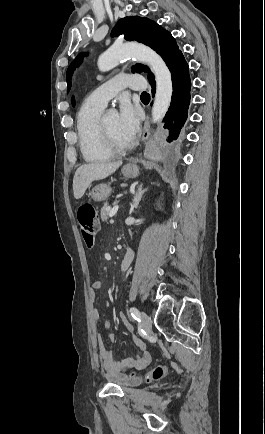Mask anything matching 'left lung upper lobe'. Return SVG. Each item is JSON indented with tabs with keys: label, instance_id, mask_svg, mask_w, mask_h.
<instances>
[{
	"label": "left lung upper lobe",
	"instance_id": "5c2ea615",
	"mask_svg": "<svg viewBox=\"0 0 265 434\" xmlns=\"http://www.w3.org/2000/svg\"><path fill=\"white\" fill-rule=\"evenodd\" d=\"M125 33V39L132 41L135 40L140 43L151 47L158 54H160L170 69L174 60L182 54L176 44L175 39L170 32L163 29L156 22L138 16L126 17L118 21L114 29L112 30V36H118ZM84 54H80L76 60H74L67 70V90L71 87V76L76 66L81 63V59ZM148 72L149 68L140 64L133 67L132 72ZM147 78L152 85H155L154 76L149 72Z\"/></svg>",
	"mask_w": 265,
	"mask_h": 434
}]
</instances>
